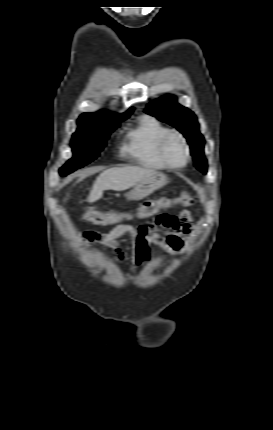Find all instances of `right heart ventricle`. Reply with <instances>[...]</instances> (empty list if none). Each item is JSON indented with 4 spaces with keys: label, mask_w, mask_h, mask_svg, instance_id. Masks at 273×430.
<instances>
[{
    "label": "right heart ventricle",
    "mask_w": 273,
    "mask_h": 430,
    "mask_svg": "<svg viewBox=\"0 0 273 430\" xmlns=\"http://www.w3.org/2000/svg\"><path fill=\"white\" fill-rule=\"evenodd\" d=\"M169 131L155 117L142 116L127 131L122 152L142 167L166 169L168 166L161 160L158 146L161 138Z\"/></svg>",
    "instance_id": "right-heart-ventricle-1"
}]
</instances>
